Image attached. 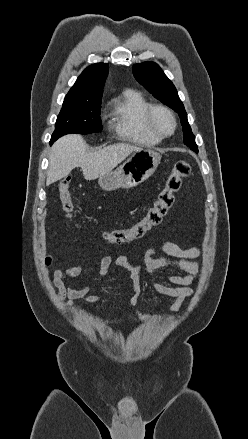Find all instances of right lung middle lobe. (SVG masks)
Here are the masks:
<instances>
[{
  "mask_svg": "<svg viewBox=\"0 0 248 439\" xmlns=\"http://www.w3.org/2000/svg\"><path fill=\"white\" fill-rule=\"evenodd\" d=\"M100 110L101 100L93 102L64 100L50 145L65 134L100 132L102 130Z\"/></svg>",
  "mask_w": 248,
  "mask_h": 439,
  "instance_id": "1",
  "label": "right lung middle lobe"
}]
</instances>
